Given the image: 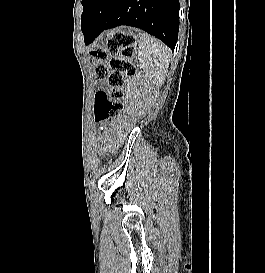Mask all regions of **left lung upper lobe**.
I'll use <instances>...</instances> for the list:
<instances>
[{"mask_svg":"<svg viewBox=\"0 0 265 273\" xmlns=\"http://www.w3.org/2000/svg\"><path fill=\"white\" fill-rule=\"evenodd\" d=\"M82 5L84 7V10H83V13H82V16H81V24H82L83 17H84L85 13L88 10V0H82Z\"/></svg>","mask_w":265,"mask_h":273,"instance_id":"5c2ea615","label":"left lung upper lobe"}]
</instances>
